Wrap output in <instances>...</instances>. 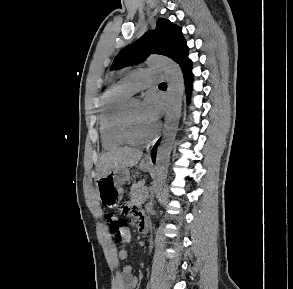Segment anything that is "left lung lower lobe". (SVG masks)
Listing matches in <instances>:
<instances>
[{
	"instance_id": "left-lung-lower-lobe-1",
	"label": "left lung lower lobe",
	"mask_w": 293,
	"mask_h": 289,
	"mask_svg": "<svg viewBox=\"0 0 293 289\" xmlns=\"http://www.w3.org/2000/svg\"><path fill=\"white\" fill-rule=\"evenodd\" d=\"M180 67H181L182 72H183V75H184L186 92H187V95L189 96L190 95V92H191V87H192L191 83H192V80H193L192 62H191V60L188 59ZM158 142L155 144V146L152 149V160H153V162H155V158H156V147L158 145Z\"/></svg>"
}]
</instances>
